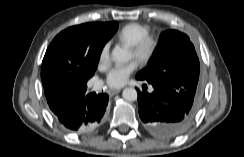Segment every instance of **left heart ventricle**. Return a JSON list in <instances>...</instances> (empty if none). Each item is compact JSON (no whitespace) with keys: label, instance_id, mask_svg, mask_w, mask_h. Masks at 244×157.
<instances>
[{"label":"left heart ventricle","instance_id":"left-heart-ventricle-1","mask_svg":"<svg viewBox=\"0 0 244 157\" xmlns=\"http://www.w3.org/2000/svg\"><path fill=\"white\" fill-rule=\"evenodd\" d=\"M131 57H134V54H133L132 50H131Z\"/></svg>","mask_w":244,"mask_h":157}]
</instances>
